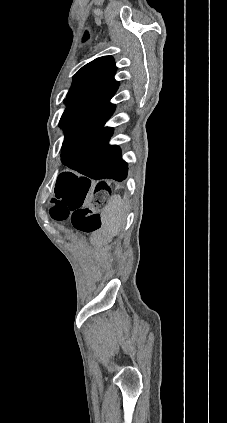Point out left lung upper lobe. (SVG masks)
I'll return each instance as SVG.
<instances>
[{"instance_id": "left-lung-upper-lobe-1", "label": "left lung upper lobe", "mask_w": 227, "mask_h": 423, "mask_svg": "<svg viewBox=\"0 0 227 423\" xmlns=\"http://www.w3.org/2000/svg\"><path fill=\"white\" fill-rule=\"evenodd\" d=\"M116 71L111 56L97 58L83 66L74 76L65 103L67 107L60 119L66 136L80 131L87 124L106 119L114 111L109 103L118 89L114 79Z\"/></svg>"}]
</instances>
